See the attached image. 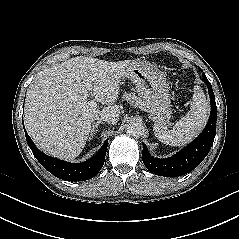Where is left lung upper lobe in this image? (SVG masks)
I'll return each instance as SVG.
<instances>
[{
    "instance_id": "obj_1",
    "label": "left lung upper lobe",
    "mask_w": 239,
    "mask_h": 239,
    "mask_svg": "<svg viewBox=\"0 0 239 239\" xmlns=\"http://www.w3.org/2000/svg\"><path fill=\"white\" fill-rule=\"evenodd\" d=\"M202 75H203V80L207 79L204 73Z\"/></svg>"
}]
</instances>
